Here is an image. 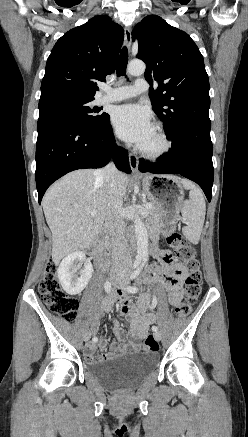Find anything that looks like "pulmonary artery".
I'll list each match as a JSON object with an SVG mask.
<instances>
[{"label":"pulmonary artery","mask_w":248,"mask_h":437,"mask_svg":"<svg viewBox=\"0 0 248 437\" xmlns=\"http://www.w3.org/2000/svg\"><path fill=\"white\" fill-rule=\"evenodd\" d=\"M148 89V82L143 78H139L135 81L134 85H125L113 90L107 89L106 94L101 98L100 101L103 103L121 101L147 92Z\"/></svg>","instance_id":"obj_1"}]
</instances>
